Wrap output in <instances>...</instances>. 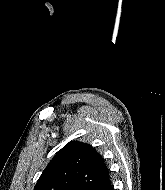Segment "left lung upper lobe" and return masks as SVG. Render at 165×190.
I'll return each instance as SVG.
<instances>
[{"mask_svg": "<svg viewBox=\"0 0 165 190\" xmlns=\"http://www.w3.org/2000/svg\"><path fill=\"white\" fill-rule=\"evenodd\" d=\"M109 174L92 146L71 141L52 158L34 190H101Z\"/></svg>", "mask_w": 165, "mask_h": 190, "instance_id": "5c2ea615", "label": "left lung upper lobe"}]
</instances>
